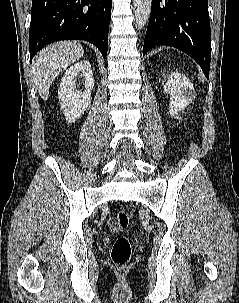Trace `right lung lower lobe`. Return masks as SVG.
<instances>
[{
    "instance_id": "1",
    "label": "right lung lower lobe",
    "mask_w": 239,
    "mask_h": 303,
    "mask_svg": "<svg viewBox=\"0 0 239 303\" xmlns=\"http://www.w3.org/2000/svg\"><path fill=\"white\" fill-rule=\"evenodd\" d=\"M112 0H32L30 62L49 43L79 39L106 58Z\"/></svg>"
}]
</instances>
